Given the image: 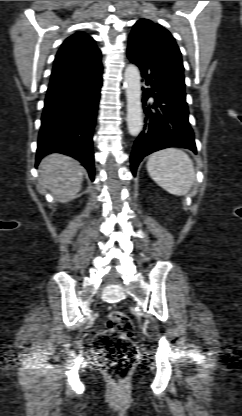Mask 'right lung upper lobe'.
Returning a JSON list of instances; mask_svg holds the SVG:
<instances>
[{"label":"right lung upper lobe","mask_w":242,"mask_h":416,"mask_svg":"<svg viewBox=\"0 0 242 416\" xmlns=\"http://www.w3.org/2000/svg\"><path fill=\"white\" fill-rule=\"evenodd\" d=\"M101 69V52L94 39L84 32H77L68 37L59 49L50 85L72 82Z\"/></svg>","instance_id":"right-lung-upper-lobe-1"}]
</instances>
